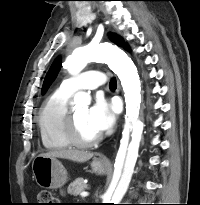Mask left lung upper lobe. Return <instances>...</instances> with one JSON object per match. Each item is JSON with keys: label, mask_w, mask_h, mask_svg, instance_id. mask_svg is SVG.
<instances>
[{"label": "left lung upper lobe", "mask_w": 200, "mask_h": 205, "mask_svg": "<svg viewBox=\"0 0 200 205\" xmlns=\"http://www.w3.org/2000/svg\"><path fill=\"white\" fill-rule=\"evenodd\" d=\"M110 37L116 44L120 46L123 44L122 40L118 36L111 34ZM60 68H61V58L57 57L55 61L53 62L52 66L50 67L49 71L47 72V75L44 79L43 87H42V94H44L47 91L48 87L54 81Z\"/></svg>", "instance_id": "left-lung-upper-lobe-1"}]
</instances>
